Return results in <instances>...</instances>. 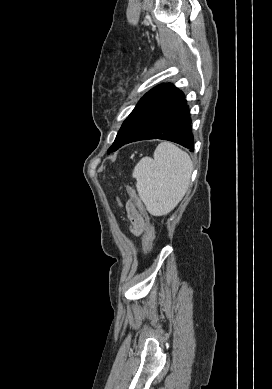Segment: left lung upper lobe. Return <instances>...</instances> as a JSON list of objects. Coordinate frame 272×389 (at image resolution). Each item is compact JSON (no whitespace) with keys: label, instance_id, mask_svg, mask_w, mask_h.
Returning a JSON list of instances; mask_svg holds the SVG:
<instances>
[{"label":"left lung upper lobe","instance_id":"5c2ea615","mask_svg":"<svg viewBox=\"0 0 272 389\" xmlns=\"http://www.w3.org/2000/svg\"><path fill=\"white\" fill-rule=\"evenodd\" d=\"M166 84H160L153 89H151L149 92H147L138 102L134 110L131 112V114L125 119L123 122L116 139L112 146L109 148L108 153L116 151L118 149V146L122 140V138L125 136V134L129 131L131 126L135 123L137 118L139 117L140 113L142 112L143 108L145 107L148 100L162 87H164Z\"/></svg>","mask_w":272,"mask_h":389}]
</instances>
